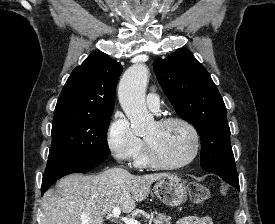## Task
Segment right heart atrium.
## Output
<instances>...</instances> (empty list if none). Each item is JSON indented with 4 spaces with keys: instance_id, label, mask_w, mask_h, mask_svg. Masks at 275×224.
<instances>
[{
    "instance_id": "obj_1",
    "label": "right heart atrium",
    "mask_w": 275,
    "mask_h": 224,
    "mask_svg": "<svg viewBox=\"0 0 275 224\" xmlns=\"http://www.w3.org/2000/svg\"><path fill=\"white\" fill-rule=\"evenodd\" d=\"M107 145L118 160L132 161L142 151V140L134 133L130 122L117 112L107 130Z\"/></svg>"
}]
</instances>
